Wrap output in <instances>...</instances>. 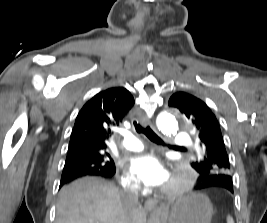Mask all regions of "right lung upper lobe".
<instances>
[{
	"mask_svg": "<svg viewBox=\"0 0 267 223\" xmlns=\"http://www.w3.org/2000/svg\"><path fill=\"white\" fill-rule=\"evenodd\" d=\"M134 105L131 93L123 87L102 91L90 99L77 115L68 154L84 148L106 151L111 127L119 125Z\"/></svg>",
	"mask_w": 267,
	"mask_h": 223,
	"instance_id": "1",
	"label": "right lung upper lobe"
}]
</instances>
